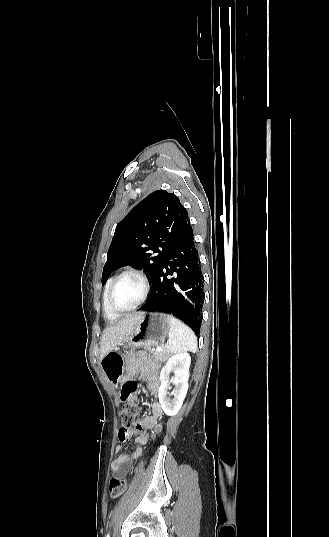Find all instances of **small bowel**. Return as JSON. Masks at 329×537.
I'll return each mask as SVG.
<instances>
[{"mask_svg": "<svg viewBox=\"0 0 329 537\" xmlns=\"http://www.w3.org/2000/svg\"><path fill=\"white\" fill-rule=\"evenodd\" d=\"M126 371L127 376L130 378V381H123L121 384V389L119 396L121 402L126 404L128 400L134 398L135 392L139 390L138 381L132 379L135 376H140L141 378L147 381V388L150 393L155 396L159 395V373L158 365L147 355L138 354L130 356L126 361ZM163 411L160 403L156 400L152 403L151 411L146 415L140 424V427L133 429H126L121 435V430L119 433V440L123 443H128L130 440L136 438L138 446L136 450L131 454H123V446H116L115 452L117 454L116 458L112 462V471L115 475H123L126 470L123 469V465H130L132 462L137 460L142 455V448L140 445L147 442V430L155 428L158 425V421L162 416Z\"/></svg>", "mask_w": 329, "mask_h": 537, "instance_id": "1", "label": "small bowel"}]
</instances>
